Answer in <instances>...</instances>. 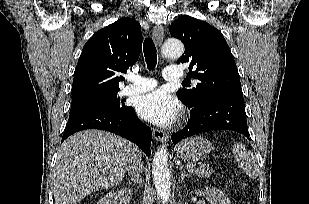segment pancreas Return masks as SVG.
<instances>
[{"mask_svg": "<svg viewBox=\"0 0 309 204\" xmlns=\"http://www.w3.org/2000/svg\"><path fill=\"white\" fill-rule=\"evenodd\" d=\"M189 170L192 174H195L199 177H210L213 174V170L210 168L209 165L206 164H189Z\"/></svg>", "mask_w": 309, "mask_h": 204, "instance_id": "1", "label": "pancreas"}]
</instances>
